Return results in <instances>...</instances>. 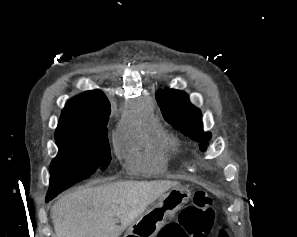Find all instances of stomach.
Returning <instances> with one entry per match:
<instances>
[{"label": "stomach", "mask_w": 297, "mask_h": 237, "mask_svg": "<svg viewBox=\"0 0 297 237\" xmlns=\"http://www.w3.org/2000/svg\"><path fill=\"white\" fill-rule=\"evenodd\" d=\"M190 195L185 187L174 186L128 227L124 237H155L167 217L188 202Z\"/></svg>", "instance_id": "0dacf381"}]
</instances>
